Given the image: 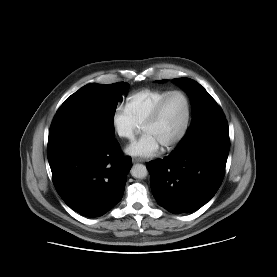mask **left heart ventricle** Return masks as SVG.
Wrapping results in <instances>:
<instances>
[{
  "label": "left heart ventricle",
  "mask_w": 277,
  "mask_h": 277,
  "mask_svg": "<svg viewBox=\"0 0 277 277\" xmlns=\"http://www.w3.org/2000/svg\"><path fill=\"white\" fill-rule=\"evenodd\" d=\"M187 107L185 99L181 95H173L166 102L162 114L157 122L147 126L145 133L152 134L161 146L170 143L181 132Z\"/></svg>",
  "instance_id": "b2bd125f"
}]
</instances>
